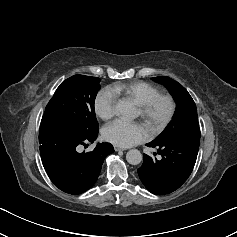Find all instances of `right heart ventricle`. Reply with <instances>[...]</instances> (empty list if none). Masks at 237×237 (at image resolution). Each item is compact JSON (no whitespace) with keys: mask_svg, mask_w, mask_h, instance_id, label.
Returning a JSON list of instances; mask_svg holds the SVG:
<instances>
[{"mask_svg":"<svg viewBox=\"0 0 237 237\" xmlns=\"http://www.w3.org/2000/svg\"><path fill=\"white\" fill-rule=\"evenodd\" d=\"M109 89L116 96L130 99L137 105L146 102L148 99L160 93L157 87L141 80L116 83Z\"/></svg>","mask_w":237,"mask_h":237,"instance_id":"1","label":"right heart ventricle"}]
</instances>
